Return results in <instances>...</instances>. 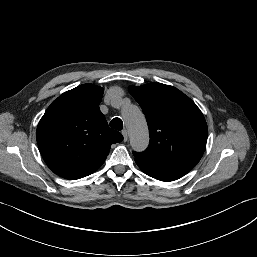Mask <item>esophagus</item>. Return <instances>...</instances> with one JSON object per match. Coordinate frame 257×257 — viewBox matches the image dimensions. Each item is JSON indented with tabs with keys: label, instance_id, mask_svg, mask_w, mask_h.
I'll list each match as a JSON object with an SVG mask.
<instances>
[{
	"label": "esophagus",
	"instance_id": "obj_1",
	"mask_svg": "<svg viewBox=\"0 0 257 257\" xmlns=\"http://www.w3.org/2000/svg\"><path fill=\"white\" fill-rule=\"evenodd\" d=\"M122 135H123V140L124 142H126L128 140V133H127V130H123L122 131Z\"/></svg>",
	"mask_w": 257,
	"mask_h": 257
}]
</instances>
